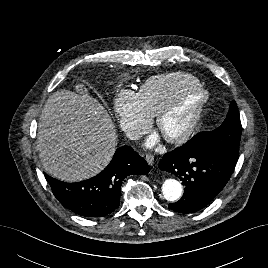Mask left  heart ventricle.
Returning a JSON list of instances; mask_svg holds the SVG:
<instances>
[{"instance_id":"obj_1","label":"left heart ventricle","mask_w":268,"mask_h":268,"mask_svg":"<svg viewBox=\"0 0 268 268\" xmlns=\"http://www.w3.org/2000/svg\"><path fill=\"white\" fill-rule=\"evenodd\" d=\"M197 100V94L193 91L183 95L178 107L163 121L162 133L164 135L179 133L189 122Z\"/></svg>"}]
</instances>
